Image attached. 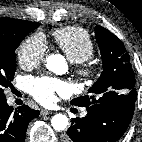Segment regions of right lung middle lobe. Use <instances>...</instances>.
<instances>
[{
	"instance_id": "dd1d6c3e",
	"label": "right lung middle lobe",
	"mask_w": 142,
	"mask_h": 142,
	"mask_svg": "<svg viewBox=\"0 0 142 142\" xmlns=\"http://www.w3.org/2000/svg\"><path fill=\"white\" fill-rule=\"evenodd\" d=\"M40 23L0 36V97H4L3 89L10 86L16 71L15 50L21 41Z\"/></svg>"
}]
</instances>
